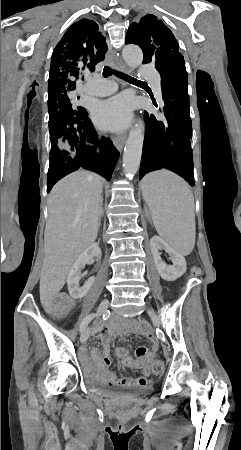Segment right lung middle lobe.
Masks as SVG:
<instances>
[{
	"label": "right lung middle lobe",
	"mask_w": 241,
	"mask_h": 450,
	"mask_svg": "<svg viewBox=\"0 0 241 450\" xmlns=\"http://www.w3.org/2000/svg\"><path fill=\"white\" fill-rule=\"evenodd\" d=\"M77 99L70 95L48 100L49 131L51 140L50 155L69 154L74 152V146L68 137L60 130L61 125L80 121L87 116L85 108L79 106Z\"/></svg>",
	"instance_id": "obj_1"
}]
</instances>
